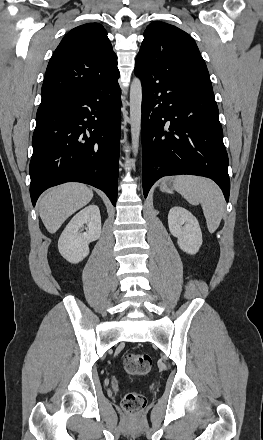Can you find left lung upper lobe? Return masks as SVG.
<instances>
[{"label":"left lung upper lobe","instance_id":"1","mask_svg":"<svg viewBox=\"0 0 263 440\" xmlns=\"http://www.w3.org/2000/svg\"><path fill=\"white\" fill-rule=\"evenodd\" d=\"M135 66L171 70L196 85L212 90L205 61L193 38L164 22H152L146 28Z\"/></svg>","mask_w":263,"mask_h":440}]
</instances>
